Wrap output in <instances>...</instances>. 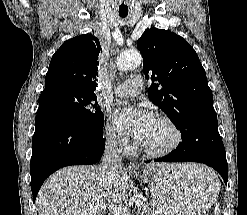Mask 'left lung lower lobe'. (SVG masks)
Returning <instances> with one entry per match:
<instances>
[{
  "label": "left lung lower lobe",
  "mask_w": 247,
  "mask_h": 215,
  "mask_svg": "<svg viewBox=\"0 0 247 215\" xmlns=\"http://www.w3.org/2000/svg\"><path fill=\"white\" fill-rule=\"evenodd\" d=\"M184 139L176 150L155 161L203 163L214 168L227 184L228 166L218 129L189 133Z\"/></svg>",
  "instance_id": "0a47b994"
}]
</instances>
